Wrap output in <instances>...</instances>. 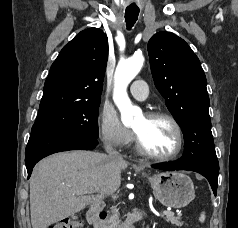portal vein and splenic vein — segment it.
Masks as SVG:
<instances>
[{
    "mask_svg": "<svg viewBox=\"0 0 238 228\" xmlns=\"http://www.w3.org/2000/svg\"><path fill=\"white\" fill-rule=\"evenodd\" d=\"M112 197H116V196H112ZM164 215H169V216H173L174 215V212H172V211H165V210H163V211H161Z\"/></svg>",
    "mask_w": 238,
    "mask_h": 228,
    "instance_id": "18ae733b",
    "label": "portal vein and splenic vein"
}]
</instances>
